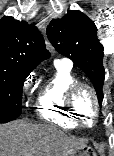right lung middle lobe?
Returning a JSON list of instances; mask_svg holds the SVG:
<instances>
[{
  "label": "right lung middle lobe",
  "mask_w": 114,
  "mask_h": 156,
  "mask_svg": "<svg viewBox=\"0 0 114 156\" xmlns=\"http://www.w3.org/2000/svg\"><path fill=\"white\" fill-rule=\"evenodd\" d=\"M27 71L0 70V123L21 114L22 88Z\"/></svg>",
  "instance_id": "right-lung-middle-lobe-1"
}]
</instances>
